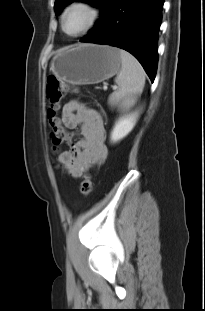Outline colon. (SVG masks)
<instances>
[{"label": "colon", "instance_id": "obj_1", "mask_svg": "<svg viewBox=\"0 0 205 311\" xmlns=\"http://www.w3.org/2000/svg\"><path fill=\"white\" fill-rule=\"evenodd\" d=\"M70 86L55 76L47 79V121L50 128V140L54 149H58L67 142V133L64 131L58 112L65 93ZM75 92H78L76 89ZM92 190V178L85 175L80 184V193L83 196L90 194Z\"/></svg>", "mask_w": 205, "mask_h": 311}]
</instances>
